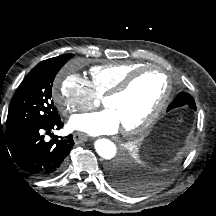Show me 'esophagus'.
Instances as JSON below:
<instances>
[{
    "mask_svg": "<svg viewBox=\"0 0 216 216\" xmlns=\"http://www.w3.org/2000/svg\"><path fill=\"white\" fill-rule=\"evenodd\" d=\"M73 139L76 143H82V142L86 141L87 135L82 133V132H76L73 135Z\"/></svg>",
    "mask_w": 216,
    "mask_h": 216,
    "instance_id": "obj_1",
    "label": "esophagus"
}]
</instances>
